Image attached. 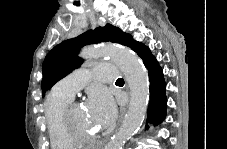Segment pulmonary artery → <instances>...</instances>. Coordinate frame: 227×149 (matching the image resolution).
Here are the masks:
<instances>
[{
  "label": "pulmonary artery",
  "mask_w": 227,
  "mask_h": 149,
  "mask_svg": "<svg viewBox=\"0 0 227 149\" xmlns=\"http://www.w3.org/2000/svg\"><path fill=\"white\" fill-rule=\"evenodd\" d=\"M118 69L109 63L97 64L93 67V74L99 83L111 82L117 80ZM89 71L79 69L59 81L55 90L64 93L70 97L74 95L88 82Z\"/></svg>",
  "instance_id": "1"
}]
</instances>
